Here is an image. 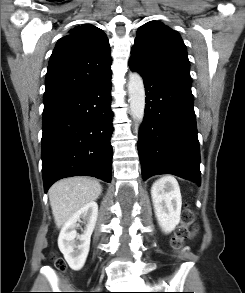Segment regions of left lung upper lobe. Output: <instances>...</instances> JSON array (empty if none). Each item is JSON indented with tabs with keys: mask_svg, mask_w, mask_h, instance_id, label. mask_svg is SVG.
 I'll list each match as a JSON object with an SVG mask.
<instances>
[{
	"mask_svg": "<svg viewBox=\"0 0 245 293\" xmlns=\"http://www.w3.org/2000/svg\"><path fill=\"white\" fill-rule=\"evenodd\" d=\"M131 57L189 85L190 64L180 35L161 22L150 21L137 32Z\"/></svg>",
	"mask_w": 245,
	"mask_h": 293,
	"instance_id": "obj_1",
	"label": "left lung upper lobe"
}]
</instances>
